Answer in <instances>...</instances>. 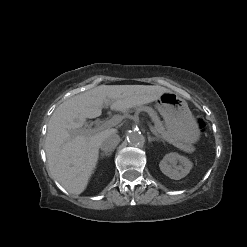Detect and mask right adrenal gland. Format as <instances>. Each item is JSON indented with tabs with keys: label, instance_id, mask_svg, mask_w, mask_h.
Wrapping results in <instances>:
<instances>
[{
	"label": "right adrenal gland",
	"instance_id": "1",
	"mask_svg": "<svg viewBox=\"0 0 247 247\" xmlns=\"http://www.w3.org/2000/svg\"><path fill=\"white\" fill-rule=\"evenodd\" d=\"M111 153H108V152H105V153H101V156L104 157V156H110Z\"/></svg>",
	"mask_w": 247,
	"mask_h": 247
}]
</instances>
